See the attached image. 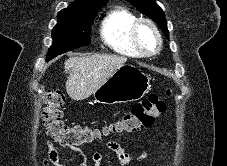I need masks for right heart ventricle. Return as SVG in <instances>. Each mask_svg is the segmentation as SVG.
Returning a JSON list of instances; mask_svg holds the SVG:
<instances>
[{
  "mask_svg": "<svg viewBox=\"0 0 227 166\" xmlns=\"http://www.w3.org/2000/svg\"><path fill=\"white\" fill-rule=\"evenodd\" d=\"M138 17L123 7H115L103 18L100 25L101 39L112 51L140 57L141 54L132 45L130 40V28Z\"/></svg>",
  "mask_w": 227,
  "mask_h": 166,
  "instance_id": "e07e8e85",
  "label": "right heart ventricle"
}]
</instances>
